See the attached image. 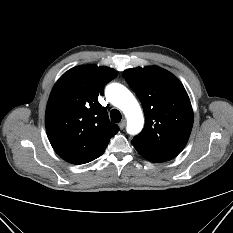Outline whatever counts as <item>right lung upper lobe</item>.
Returning <instances> with one entry per match:
<instances>
[{"label": "right lung upper lobe", "mask_w": 233, "mask_h": 233, "mask_svg": "<svg viewBox=\"0 0 233 233\" xmlns=\"http://www.w3.org/2000/svg\"><path fill=\"white\" fill-rule=\"evenodd\" d=\"M116 76V71L109 67L82 65L68 70L54 85L45 124L53 149L65 161H93L104 153L110 138L120 130L98 102L101 88Z\"/></svg>", "instance_id": "right-lung-upper-lobe-1"}]
</instances>
